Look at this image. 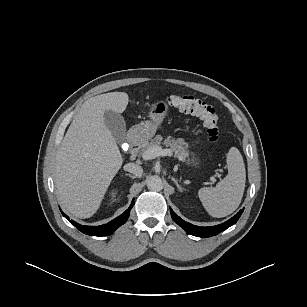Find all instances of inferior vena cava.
Returning a JSON list of instances; mask_svg holds the SVG:
<instances>
[{"label":"inferior vena cava","instance_id":"1","mask_svg":"<svg viewBox=\"0 0 307 307\" xmlns=\"http://www.w3.org/2000/svg\"><path fill=\"white\" fill-rule=\"evenodd\" d=\"M124 170L134 174L136 177H141L143 169L135 163H128L124 165Z\"/></svg>","mask_w":307,"mask_h":307}]
</instances>
